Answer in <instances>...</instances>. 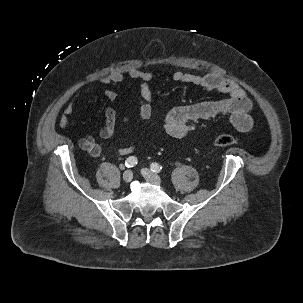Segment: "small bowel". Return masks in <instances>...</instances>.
Segmentation results:
<instances>
[{
    "label": "small bowel",
    "mask_w": 303,
    "mask_h": 303,
    "mask_svg": "<svg viewBox=\"0 0 303 303\" xmlns=\"http://www.w3.org/2000/svg\"><path fill=\"white\" fill-rule=\"evenodd\" d=\"M129 77L140 81L139 101L140 110L138 117L140 120H148L152 115L153 94L150 83L156 77L153 71H142L137 68H130L127 72L113 71L100 79V82L107 85L116 86ZM176 82L189 83L202 86L206 90L227 94L228 97L217 101H204L195 104L183 105L169 111L165 117V130L174 138H183L193 130V125L197 121L208 120L219 115L229 117L233 127L240 132H248L252 129L253 121L249 112L252 104L245 90L237 83L225 79L216 73L204 75L176 71L173 74ZM87 90L86 93H90ZM105 95L109 101L115 100L117 93L114 88L107 89ZM74 112V101H70L64 108L60 117V127L67 129L70 126L69 117ZM124 122H128L123 117ZM117 122V111L108 107L105 111V123L98 131L97 136L86 135L78 139L79 147L93 157L102 154L103 149L97 142L96 137L100 139L110 138L115 130ZM135 149L131 144L117 150L119 155H129Z\"/></svg>",
    "instance_id": "1"
}]
</instances>
